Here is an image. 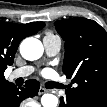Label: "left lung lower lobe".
Instances as JSON below:
<instances>
[{
    "label": "left lung lower lobe",
    "instance_id": "left-lung-lower-lobe-1",
    "mask_svg": "<svg viewBox=\"0 0 107 107\" xmlns=\"http://www.w3.org/2000/svg\"><path fill=\"white\" fill-rule=\"evenodd\" d=\"M59 107H107V92L98 91L92 96H82L75 88H68L60 98Z\"/></svg>",
    "mask_w": 107,
    "mask_h": 107
}]
</instances>
